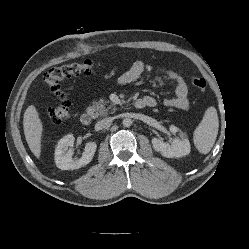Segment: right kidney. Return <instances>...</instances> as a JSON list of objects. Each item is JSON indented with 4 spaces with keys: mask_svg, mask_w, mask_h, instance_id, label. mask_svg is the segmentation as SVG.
<instances>
[{
    "mask_svg": "<svg viewBox=\"0 0 249 249\" xmlns=\"http://www.w3.org/2000/svg\"><path fill=\"white\" fill-rule=\"evenodd\" d=\"M74 136L72 134L64 136L57 144L55 149V163L61 170H74L79 169L91 162L97 144L95 142H88L85 145L82 157L78 160H73V144Z\"/></svg>",
    "mask_w": 249,
    "mask_h": 249,
    "instance_id": "obj_1",
    "label": "right kidney"
}]
</instances>
